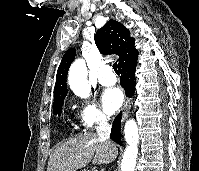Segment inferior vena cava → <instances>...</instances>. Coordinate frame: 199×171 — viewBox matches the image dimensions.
<instances>
[{"mask_svg": "<svg viewBox=\"0 0 199 171\" xmlns=\"http://www.w3.org/2000/svg\"><path fill=\"white\" fill-rule=\"evenodd\" d=\"M110 133H111V125L109 124L108 119L104 116H101L99 118V124L97 127V135L101 140L110 142L109 141Z\"/></svg>", "mask_w": 199, "mask_h": 171, "instance_id": "obj_1", "label": "inferior vena cava"}]
</instances>
